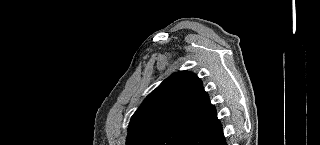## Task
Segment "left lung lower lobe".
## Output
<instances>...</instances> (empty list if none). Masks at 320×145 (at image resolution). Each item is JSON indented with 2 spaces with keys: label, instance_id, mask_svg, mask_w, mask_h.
<instances>
[{
  "label": "left lung lower lobe",
  "instance_id": "0a47b994",
  "mask_svg": "<svg viewBox=\"0 0 320 145\" xmlns=\"http://www.w3.org/2000/svg\"><path fill=\"white\" fill-rule=\"evenodd\" d=\"M178 145H226L216 110L207 121L186 134Z\"/></svg>",
  "mask_w": 320,
  "mask_h": 145
}]
</instances>
